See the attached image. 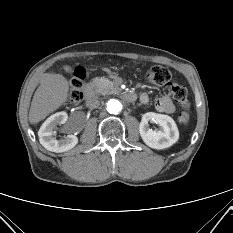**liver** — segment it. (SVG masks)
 Instances as JSON below:
<instances>
[{
	"instance_id": "obj_1",
	"label": "liver",
	"mask_w": 233,
	"mask_h": 233,
	"mask_svg": "<svg viewBox=\"0 0 233 233\" xmlns=\"http://www.w3.org/2000/svg\"><path fill=\"white\" fill-rule=\"evenodd\" d=\"M40 86L34 93L29 111V122L36 124L62 106L68 98L67 79L57 73H44L39 79Z\"/></svg>"
}]
</instances>
